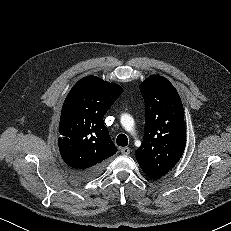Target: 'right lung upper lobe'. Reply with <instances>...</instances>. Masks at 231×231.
<instances>
[{
    "label": "right lung upper lobe",
    "mask_w": 231,
    "mask_h": 231,
    "mask_svg": "<svg viewBox=\"0 0 231 231\" xmlns=\"http://www.w3.org/2000/svg\"><path fill=\"white\" fill-rule=\"evenodd\" d=\"M122 92L115 83L88 76L68 93L62 106L58 146L64 162L76 172L102 167L117 152L103 116Z\"/></svg>",
    "instance_id": "1"
}]
</instances>
